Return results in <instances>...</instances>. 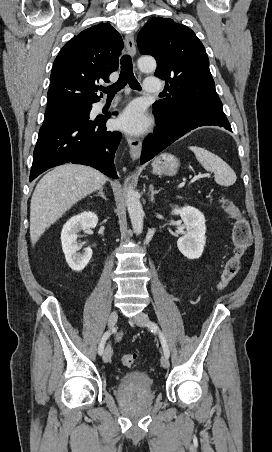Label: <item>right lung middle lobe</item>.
Returning a JSON list of instances; mask_svg holds the SVG:
<instances>
[{"mask_svg":"<svg viewBox=\"0 0 272 452\" xmlns=\"http://www.w3.org/2000/svg\"><path fill=\"white\" fill-rule=\"evenodd\" d=\"M90 109H91V106L80 108V109H76V110H72V111H68V112H65V113L57 114V115L89 114Z\"/></svg>","mask_w":272,"mask_h":452,"instance_id":"1","label":"right lung middle lobe"}]
</instances>
